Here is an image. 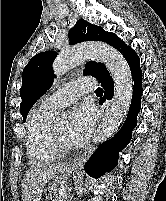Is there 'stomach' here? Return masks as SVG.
Here are the masks:
<instances>
[{
    "mask_svg": "<svg viewBox=\"0 0 166 201\" xmlns=\"http://www.w3.org/2000/svg\"><path fill=\"white\" fill-rule=\"evenodd\" d=\"M74 171V167L69 166L66 168L61 169L55 176V180L52 184H49L47 188L44 189V192L51 193L56 188V183L61 180H66L68 176Z\"/></svg>",
    "mask_w": 166,
    "mask_h": 201,
    "instance_id": "stomach-1",
    "label": "stomach"
}]
</instances>
